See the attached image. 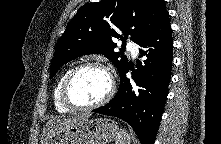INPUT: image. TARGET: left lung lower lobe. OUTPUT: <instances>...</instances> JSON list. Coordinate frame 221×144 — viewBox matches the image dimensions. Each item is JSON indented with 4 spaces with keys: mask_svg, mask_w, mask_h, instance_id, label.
Listing matches in <instances>:
<instances>
[{
    "mask_svg": "<svg viewBox=\"0 0 221 144\" xmlns=\"http://www.w3.org/2000/svg\"><path fill=\"white\" fill-rule=\"evenodd\" d=\"M140 57H146L132 71V81L126 77L130 64L120 71V87L115 97L93 112L118 117L130 124L141 144H154L171 78L172 37L169 15L139 43Z\"/></svg>",
    "mask_w": 221,
    "mask_h": 144,
    "instance_id": "left-lung-lower-lobe-1",
    "label": "left lung lower lobe"
}]
</instances>
